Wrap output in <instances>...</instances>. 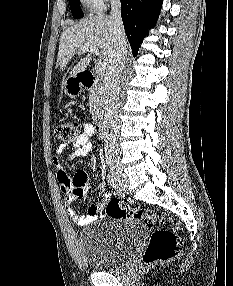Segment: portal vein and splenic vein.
<instances>
[{"mask_svg":"<svg viewBox=\"0 0 233 286\" xmlns=\"http://www.w3.org/2000/svg\"><path fill=\"white\" fill-rule=\"evenodd\" d=\"M80 51L81 52H90L92 54L95 55H99V50L97 47H93V46H82L80 47ZM95 71L97 74L101 75L105 72V64L101 61L96 62L95 64Z\"/></svg>","mask_w":233,"mask_h":286,"instance_id":"portal-vein-and-splenic-vein-1","label":"portal vein and splenic vein"}]
</instances>
